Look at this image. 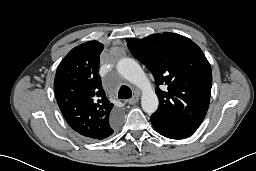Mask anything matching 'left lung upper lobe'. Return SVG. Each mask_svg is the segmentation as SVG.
<instances>
[{
	"label": "left lung upper lobe",
	"mask_w": 256,
	"mask_h": 171,
	"mask_svg": "<svg viewBox=\"0 0 256 171\" xmlns=\"http://www.w3.org/2000/svg\"><path fill=\"white\" fill-rule=\"evenodd\" d=\"M134 57L152 72L159 108L152 115L191 135L209 106L212 72L202 50L189 38L165 32L143 39L128 38Z\"/></svg>",
	"instance_id": "1"
}]
</instances>
